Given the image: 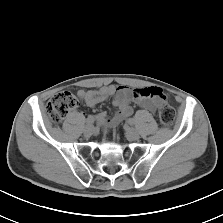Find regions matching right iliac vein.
<instances>
[{
    "label": "right iliac vein",
    "instance_id": "1",
    "mask_svg": "<svg viewBox=\"0 0 223 223\" xmlns=\"http://www.w3.org/2000/svg\"><path fill=\"white\" fill-rule=\"evenodd\" d=\"M93 132H94V127H93L92 125H88V126H86V127L84 128V134H85L86 136H90V135H92Z\"/></svg>",
    "mask_w": 223,
    "mask_h": 223
}]
</instances>
